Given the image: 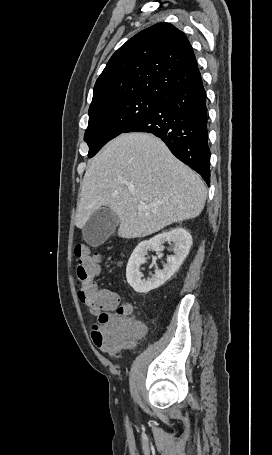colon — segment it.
<instances>
[{
  "label": "colon",
  "instance_id": "1",
  "mask_svg": "<svg viewBox=\"0 0 272 455\" xmlns=\"http://www.w3.org/2000/svg\"><path fill=\"white\" fill-rule=\"evenodd\" d=\"M76 286L79 300L97 316L91 339L100 350L113 354L145 332L144 325L130 316V307L121 305L118 296L95 281L100 257L87 246L75 247Z\"/></svg>",
  "mask_w": 272,
  "mask_h": 455
}]
</instances>
